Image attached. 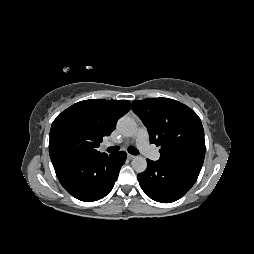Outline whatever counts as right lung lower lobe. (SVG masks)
<instances>
[{"instance_id":"right-lung-lower-lobe-1","label":"right lung lower lobe","mask_w":254,"mask_h":254,"mask_svg":"<svg viewBox=\"0 0 254 254\" xmlns=\"http://www.w3.org/2000/svg\"><path fill=\"white\" fill-rule=\"evenodd\" d=\"M126 154L118 152L97 157H64L52 161L57 178L75 198L92 202L105 197L113 188Z\"/></svg>"}]
</instances>
